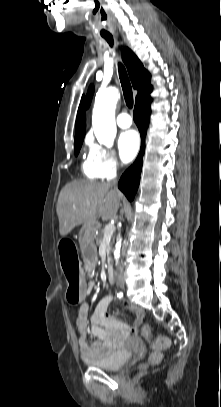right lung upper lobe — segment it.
I'll use <instances>...</instances> for the list:
<instances>
[{
    "label": "right lung upper lobe",
    "mask_w": 221,
    "mask_h": 407,
    "mask_svg": "<svg viewBox=\"0 0 221 407\" xmlns=\"http://www.w3.org/2000/svg\"><path fill=\"white\" fill-rule=\"evenodd\" d=\"M122 59L127 67L132 85L134 89L138 90L136 96V104L141 103L143 100L150 96L152 86L150 85V74L145 70L143 64L139 61L137 56L129 49L125 48L122 51ZM85 108H84V96L81 99L77 118H76V132L75 142H83L85 136Z\"/></svg>",
    "instance_id": "cb5924a9"
}]
</instances>
